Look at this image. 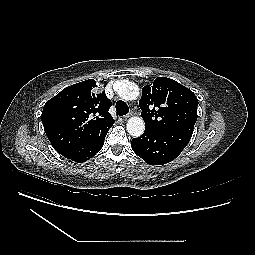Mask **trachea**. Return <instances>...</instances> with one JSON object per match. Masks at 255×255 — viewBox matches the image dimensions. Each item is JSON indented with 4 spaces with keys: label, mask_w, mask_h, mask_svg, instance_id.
<instances>
[{
    "label": "trachea",
    "mask_w": 255,
    "mask_h": 255,
    "mask_svg": "<svg viewBox=\"0 0 255 255\" xmlns=\"http://www.w3.org/2000/svg\"><path fill=\"white\" fill-rule=\"evenodd\" d=\"M116 112L119 116L126 115L129 112V107L124 101L119 100L116 103Z\"/></svg>",
    "instance_id": "trachea-1"
}]
</instances>
